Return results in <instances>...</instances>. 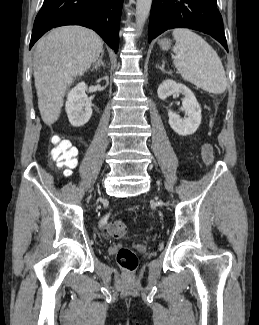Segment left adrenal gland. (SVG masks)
Wrapping results in <instances>:
<instances>
[{
  "label": "left adrenal gland",
  "instance_id": "left-adrenal-gland-1",
  "mask_svg": "<svg viewBox=\"0 0 259 325\" xmlns=\"http://www.w3.org/2000/svg\"><path fill=\"white\" fill-rule=\"evenodd\" d=\"M164 61H162V65L161 66H157V68H159L163 73H166V71L164 70Z\"/></svg>",
  "mask_w": 259,
  "mask_h": 325
}]
</instances>
